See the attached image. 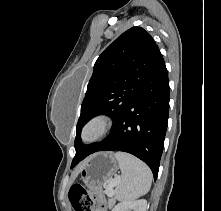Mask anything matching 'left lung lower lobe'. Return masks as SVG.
I'll list each match as a JSON object with an SVG mask.
<instances>
[{
	"mask_svg": "<svg viewBox=\"0 0 221 211\" xmlns=\"http://www.w3.org/2000/svg\"><path fill=\"white\" fill-rule=\"evenodd\" d=\"M169 80L162 54L110 135L89 153L128 152L144 161L156 180L168 122Z\"/></svg>",
	"mask_w": 221,
	"mask_h": 211,
	"instance_id": "left-lung-lower-lobe-1",
	"label": "left lung lower lobe"
}]
</instances>
